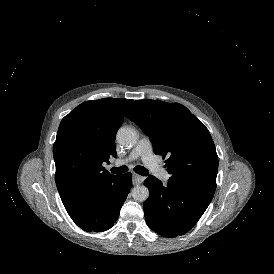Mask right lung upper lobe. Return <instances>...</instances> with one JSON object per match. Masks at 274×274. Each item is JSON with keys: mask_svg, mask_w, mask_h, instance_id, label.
<instances>
[{"mask_svg": "<svg viewBox=\"0 0 274 274\" xmlns=\"http://www.w3.org/2000/svg\"><path fill=\"white\" fill-rule=\"evenodd\" d=\"M130 99L86 101L59 126L53 145L55 181L65 208L85 200L100 184L115 178L102 163L117 157L115 138Z\"/></svg>", "mask_w": 274, "mask_h": 274, "instance_id": "obj_1", "label": "right lung upper lobe"}]
</instances>
